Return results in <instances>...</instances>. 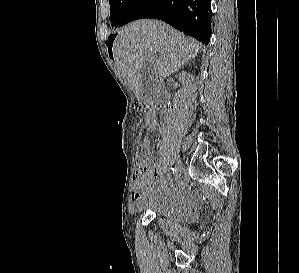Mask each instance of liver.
Masks as SVG:
<instances>
[{
    "label": "liver",
    "instance_id": "obj_1",
    "mask_svg": "<svg viewBox=\"0 0 299 273\" xmlns=\"http://www.w3.org/2000/svg\"><path fill=\"white\" fill-rule=\"evenodd\" d=\"M200 44L155 20L134 21L118 31L113 44L117 68L137 98H142L141 69L151 63L160 79L179 70L199 52ZM153 53L156 56L151 57ZM156 85L154 88V94Z\"/></svg>",
    "mask_w": 299,
    "mask_h": 273
}]
</instances>
